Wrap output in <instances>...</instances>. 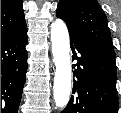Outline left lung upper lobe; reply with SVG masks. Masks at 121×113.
Returning a JSON list of instances; mask_svg holds the SVG:
<instances>
[{"mask_svg": "<svg viewBox=\"0 0 121 113\" xmlns=\"http://www.w3.org/2000/svg\"><path fill=\"white\" fill-rule=\"evenodd\" d=\"M56 14L66 22L70 36L82 41L116 67L107 18L97 1L61 0Z\"/></svg>", "mask_w": 121, "mask_h": 113, "instance_id": "left-lung-upper-lobe-1", "label": "left lung upper lobe"}]
</instances>
